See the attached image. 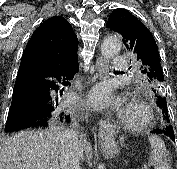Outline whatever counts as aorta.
<instances>
[{"instance_id":"762f6f07","label":"aorta","mask_w":177,"mask_h":169,"mask_svg":"<svg viewBox=\"0 0 177 169\" xmlns=\"http://www.w3.org/2000/svg\"><path fill=\"white\" fill-rule=\"evenodd\" d=\"M121 46L122 43L119 37L108 36L101 44V53L105 58H113L119 53Z\"/></svg>"}]
</instances>
